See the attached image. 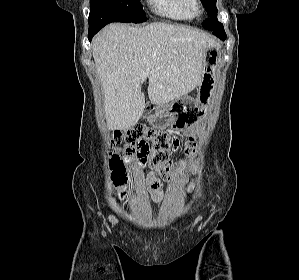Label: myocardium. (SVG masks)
<instances>
[{"instance_id":"1","label":"myocardium","mask_w":299,"mask_h":280,"mask_svg":"<svg viewBox=\"0 0 299 280\" xmlns=\"http://www.w3.org/2000/svg\"><path fill=\"white\" fill-rule=\"evenodd\" d=\"M200 11V6L197 4V12Z\"/></svg>"}]
</instances>
